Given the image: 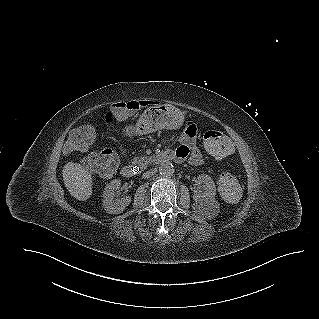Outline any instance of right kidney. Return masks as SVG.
Segmentation results:
<instances>
[{"mask_svg": "<svg viewBox=\"0 0 319 319\" xmlns=\"http://www.w3.org/2000/svg\"><path fill=\"white\" fill-rule=\"evenodd\" d=\"M121 181L116 179L108 183L103 192V207L109 214H119L131 203L130 196L115 199V192L120 189Z\"/></svg>", "mask_w": 319, "mask_h": 319, "instance_id": "obj_1", "label": "right kidney"}]
</instances>
